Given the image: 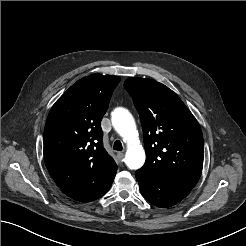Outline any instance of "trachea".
<instances>
[{
  "instance_id": "3493384b",
  "label": "trachea",
  "mask_w": 246,
  "mask_h": 246,
  "mask_svg": "<svg viewBox=\"0 0 246 246\" xmlns=\"http://www.w3.org/2000/svg\"><path fill=\"white\" fill-rule=\"evenodd\" d=\"M122 143L119 141V140H116L114 142V146H113V149L114 150H117V151H121L122 150Z\"/></svg>"
}]
</instances>
